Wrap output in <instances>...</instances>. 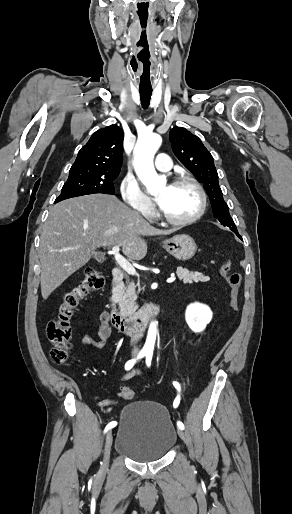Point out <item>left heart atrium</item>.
<instances>
[{
    "label": "left heart atrium",
    "instance_id": "39dd6f15",
    "mask_svg": "<svg viewBox=\"0 0 292 514\" xmlns=\"http://www.w3.org/2000/svg\"><path fill=\"white\" fill-rule=\"evenodd\" d=\"M156 201H157V203L160 205V204H161V202H162V198H161V197H156Z\"/></svg>",
    "mask_w": 292,
    "mask_h": 514
}]
</instances>
